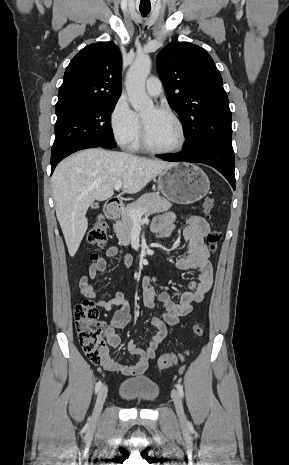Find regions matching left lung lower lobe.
<instances>
[{
  "label": "left lung lower lobe",
  "mask_w": 289,
  "mask_h": 465,
  "mask_svg": "<svg viewBox=\"0 0 289 465\" xmlns=\"http://www.w3.org/2000/svg\"><path fill=\"white\" fill-rule=\"evenodd\" d=\"M167 161L198 162L210 165L223 174L235 190V159L233 149L204 144L176 154L157 155Z\"/></svg>",
  "instance_id": "1"
}]
</instances>
